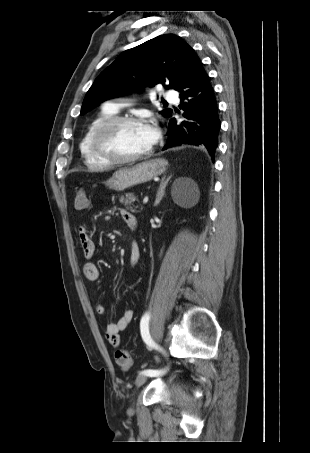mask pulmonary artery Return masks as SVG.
Here are the masks:
<instances>
[{"label": "pulmonary artery", "instance_id": "pulmonary-artery-1", "mask_svg": "<svg viewBox=\"0 0 310 453\" xmlns=\"http://www.w3.org/2000/svg\"><path fill=\"white\" fill-rule=\"evenodd\" d=\"M163 96L168 101H177V94L174 91H165L163 93ZM106 107L117 112L120 109L121 105L117 103H107Z\"/></svg>", "mask_w": 310, "mask_h": 453}]
</instances>
